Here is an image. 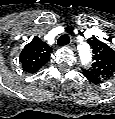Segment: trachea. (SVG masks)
Returning <instances> with one entry per match:
<instances>
[{
  "label": "trachea",
  "instance_id": "1",
  "mask_svg": "<svg viewBox=\"0 0 115 119\" xmlns=\"http://www.w3.org/2000/svg\"><path fill=\"white\" fill-rule=\"evenodd\" d=\"M70 42V37L67 34H64L59 37L57 44L58 45H66Z\"/></svg>",
  "mask_w": 115,
  "mask_h": 119
}]
</instances>
